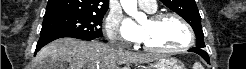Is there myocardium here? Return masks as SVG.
<instances>
[{
    "label": "myocardium",
    "mask_w": 246,
    "mask_h": 69,
    "mask_svg": "<svg viewBox=\"0 0 246 69\" xmlns=\"http://www.w3.org/2000/svg\"><path fill=\"white\" fill-rule=\"evenodd\" d=\"M167 18H173V19L177 20L184 27L186 34H187V42L185 44L181 45L180 47L171 48V49H161V48L151 47L145 42L142 43L143 46L148 50H151L155 53L164 54V55H171V54L183 52V51L190 49L194 43V34H193L191 26L180 15H178L176 13H169V12L157 13V14H154L150 17V21L158 22V21H161V20H164Z\"/></svg>",
    "instance_id": "obj_1"
}]
</instances>
